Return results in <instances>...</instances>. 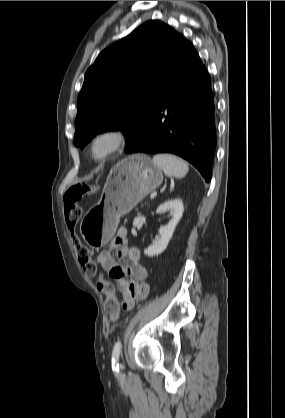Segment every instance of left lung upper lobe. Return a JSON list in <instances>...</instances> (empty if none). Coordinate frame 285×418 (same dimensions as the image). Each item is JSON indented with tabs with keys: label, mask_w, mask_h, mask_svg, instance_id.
<instances>
[{
	"label": "left lung upper lobe",
	"mask_w": 285,
	"mask_h": 418,
	"mask_svg": "<svg viewBox=\"0 0 285 418\" xmlns=\"http://www.w3.org/2000/svg\"><path fill=\"white\" fill-rule=\"evenodd\" d=\"M184 39L167 24L150 20L102 51L77 99L75 146L120 130L127 135V152L143 134Z\"/></svg>",
	"instance_id": "left-lung-upper-lobe-1"
}]
</instances>
